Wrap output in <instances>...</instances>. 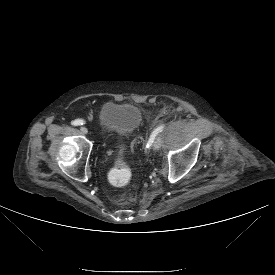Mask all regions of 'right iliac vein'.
Segmentation results:
<instances>
[{
  "label": "right iliac vein",
  "mask_w": 275,
  "mask_h": 275,
  "mask_svg": "<svg viewBox=\"0 0 275 275\" xmlns=\"http://www.w3.org/2000/svg\"><path fill=\"white\" fill-rule=\"evenodd\" d=\"M80 131L83 133V134H87L88 133V129L84 126L80 127Z\"/></svg>",
  "instance_id": "obj_1"
}]
</instances>
